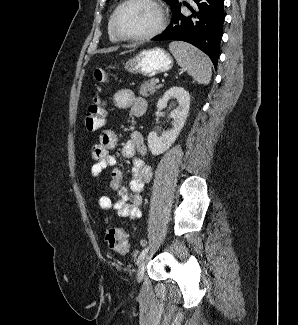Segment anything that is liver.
Listing matches in <instances>:
<instances>
[{
	"label": "liver",
	"mask_w": 298,
	"mask_h": 325,
	"mask_svg": "<svg viewBox=\"0 0 298 325\" xmlns=\"http://www.w3.org/2000/svg\"><path fill=\"white\" fill-rule=\"evenodd\" d=\"M125 52H129V50H123V52H120V54H125Z\"/></svg>",
	"instance_id": "1"
}]
</instances>
